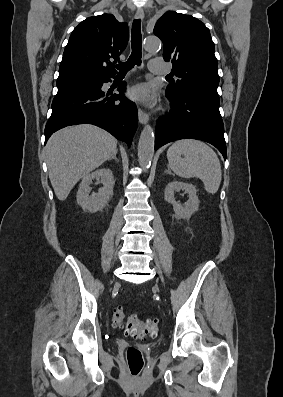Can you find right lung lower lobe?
<instances>
[{
    "label": "right lung lower lobe",
    "instance_id": "1",
    "mask_svg": "<svg viewBox=\"0 0 283 397\" xmlns=\"http://www.w3.org/2000/svg\"><path fill=\"white\" fill-rule=\"evenodd\" d=\"M110 78L58 89L45 127V143L61 128L89 123L107 130L130 147L138 123L137 109L123 94L125 84L118 87L119 94L106 97L101 87Z\"/></svg>",
    "mask_w": 283,
    "mask_h": 397
}]
</instances>
